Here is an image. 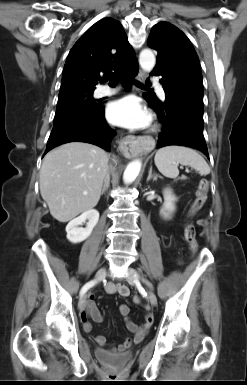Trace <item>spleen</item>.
<instances>
[{
    "label": "spleen",
    "mask_w": 247,
    "mask_h": 385,
    "mask_svg": "<svg viewBox=\"0 0 247 385\" xmlns=\"http://www.w3.org/2000/svg\"><path fill=\"white\" fill-rule=\"evenodd\" d=\"M154 162L158 170L168 178H176L179 175L178 164L190 166L201 176L210 173L205 159L197 151L185 146L172 145L159 149Z\"/></svg>",
    "instance_id": "spleen-1"
}]
</instances>
